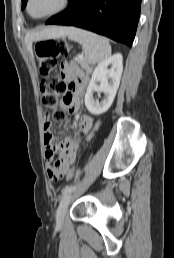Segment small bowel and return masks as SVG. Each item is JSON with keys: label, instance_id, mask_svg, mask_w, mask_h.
<instances>
[{"label": "small bowel", "instance_id": "1", "mask_svg": "<svg viewBox=\"0 0 174 258\" xmlns=\"http://www.w3.org/2000/svg\"><path fill=\"white\" fill-rule=\"evenodd\" d=\"M60 74L63 78L73 82V89L67 95L70 101L64 99L61 105L71 112H76L80 105V97L89 81V76L75 61L63 62ZM94 122V118L80 117L78 125L82 129L81 133L89 134ZM44 129L45 158L49 165L50 183H63V177L67 175V169L75 162L79 141L69 139L57 141L52 135V125L48 120L44 125ZM61 151H64L62 159L56 158V155Z\"/></svg>", "mask_w": 174, "mask_h": 258}]
</instances>
